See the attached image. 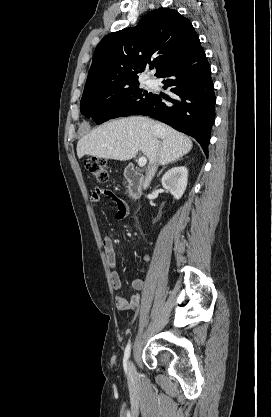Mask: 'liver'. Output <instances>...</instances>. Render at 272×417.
Returning <instances> with one entry per match:
<instances>
[{
    "mask_svg": "<svg viewBox=\"0 0 272 417\" xmlns=\"http://www.w3.org/2000/svg\"><path fill=\"white\" fill-rule=\"evenodd\" d=\"M192 141L166 124L131 116L100 125L77 143V156L126 161L141 150L149 163L166 165L189 153Z\"/></svg>",
    "mask_w": 272,
    "mask_h": 417,
    "instance_id": "obj_1",
    "label": "liver"
}]
</instances>
